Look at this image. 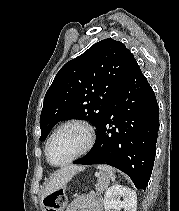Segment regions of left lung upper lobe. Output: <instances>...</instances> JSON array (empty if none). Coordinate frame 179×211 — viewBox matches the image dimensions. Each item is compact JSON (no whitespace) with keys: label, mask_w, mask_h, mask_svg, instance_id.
<instances>
[{"label":"left lung upper lobe","mask_w":179,"mask_h":211,"mask_svg":"<svg viewBox=\"0 0 179 211\" xmlns=\"http://www.w3.org/2000/svg\"><path fill=\"white\" fill-rule=\"evenodd\" d=\"M133 59L123 43L108 38L67 62L45 95L40 141L46 139L56 123L71 118L88 120L98 133Z\"/></svg>","instance_id":"obj_1"}]
</instances>
